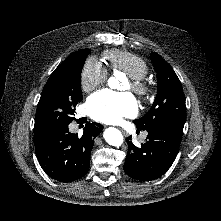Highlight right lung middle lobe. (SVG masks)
<instances>
[{"instance_id":"obj_1","label":"right lung middle lobe","mask_w":221,"mask_h":221,"mask_svg":"<svg viewBox=\"0 0 221 221\" xmlns=\"http://www.w3.org/2000/svg\"><path fill=\"white\" fill-rule=\"evenodd\" d=\"M90 51H77L49 77L36 110L35 136L58 126L69 125L75 120V107L82 100L81 70Z\"/></svg>"}]
</instances>
